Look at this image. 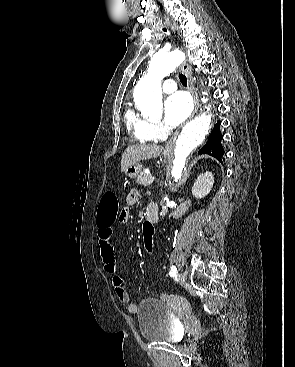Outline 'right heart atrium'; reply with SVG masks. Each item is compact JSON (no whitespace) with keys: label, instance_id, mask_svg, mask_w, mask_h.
Wrapping results in <instances>:
<instances>
[{"label":"right heart atrium","instance_id":"d8ad5b80","mask_svg":"<svg viewBox=\"0 0 295 367\" xmlns=\"http://www.w3.org/2000/svg\"><path fill=\"white\" fill-rule=\"evenodd\" d=\"M151 131L156 139L163 138L167 133L166 127L162 125L161 123H152Z\"/></svg>","mask_w":295,"mask_h":367}]
</instances>
